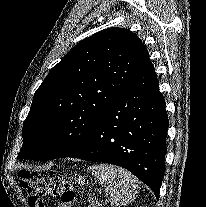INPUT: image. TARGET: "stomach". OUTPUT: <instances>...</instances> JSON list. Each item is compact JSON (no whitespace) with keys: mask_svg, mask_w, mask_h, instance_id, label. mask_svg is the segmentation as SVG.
Listing matches in <instances>:
<instances>
[{"mask_svg":"<svg viewBox=\"0 0 206 207\" xmlns=\"http://www.w3.org/2000/svg\"><path fill=\"white\" fill-rule=\"evenodd\" d=\"M72 178L80 185L85 184V179L82 176H75V177H72Z\"/></svg>","mask_w":206,"mask_h":207,"instance_id":"0dacf381","label":"stomach"}]
</instances>
